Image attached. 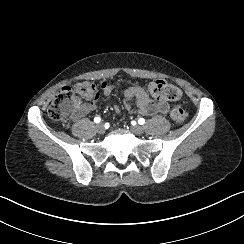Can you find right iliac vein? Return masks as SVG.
Returning a JSON list of instances; mask_svg holds the SVG:
<instances>
[{"instance_id":"obj_1","label":"right iliac vein","mask_w":244,"mask_h":244,"mask_svg":"<svg viewBox=\"0 0 244 244\" xmlns=\"http://www.w3.org/2000/svg\"><path fill=\"white\" fill-rule=\"evenodd\" d=\"M97 132L100 134H104L105 133V127L102 123L97 124L96 126Z\"/></svg>"}]
</instances>
